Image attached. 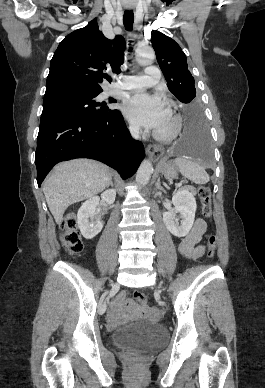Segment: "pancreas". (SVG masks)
I'll return each mask as SVG.
<instances>
[{"instance_id": "cf45deb5", "label": "pancreas", "mask_w": 265, "mask_h": 388, "mask_svg": "<svg viewBox=\"0 0 265 388\" xmlns=\"http://www.w3.org/2000/svg\"><path fill=\"white\" fill-rule=\"evenodd\" d=\"M187 190H189V192H195V188H187Z\"/></svg>"}]
</instances>
